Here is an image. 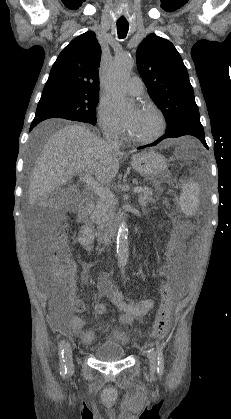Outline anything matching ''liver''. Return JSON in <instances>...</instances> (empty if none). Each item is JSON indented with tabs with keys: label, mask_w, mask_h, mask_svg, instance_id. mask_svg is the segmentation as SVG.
<instances>
[{
	"label": "liver",
	"mask_w": 231,
	"mask_h": 419,
	"mask_svg": "<svg viewBox=\"0 0 231 419\" xmlns=\"http://www.w3.org/2000/svg\"><path fill=\"white\" fill-rule=\"evenodd\" d=\"M123 154L82 125H67L47 140L31 175L29 204L59 189L75 174L89 172L101 184H110Z\"/></svg>",
	"instance_id": "obj_1"
}]
</instances>
